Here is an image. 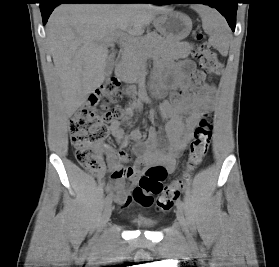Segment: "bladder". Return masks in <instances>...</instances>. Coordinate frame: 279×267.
Segmentation results:
<instances>
[{
  "mask_svg": "<svg viewBox=\"0 0 279 267\" xmlns=\"http://www.w3.org/2000/svg\"><path fill=\"white\" fill-rule=\"evenodd\" d=\"M132 224L138 228H154L157 222L146 217H138L132 220Z\"/></svg>",
  "mask_w": 279,
  "mask_h": 267,
  "instance_id": "1",
  "label": "bladder"
}]
</instances>
